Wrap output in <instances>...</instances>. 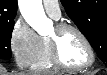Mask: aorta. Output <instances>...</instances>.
Segmentation results:
<instances>
[{
  "instance_id": "1",
  "label": "aorta",
  "mask_w": 107,
  "mask_h": 75,
  "mask_svg": "<svg viewBox=\"0 0 107 75\" xmlns=\"http://www.w3.org/2000/svg\"><path fill=\"white\" fill-rule=\"evenodd\" d=\"M19 8L25 21L40 35H44L50 25L42 0H19Z\"/></svg>"
}]
</instances>
